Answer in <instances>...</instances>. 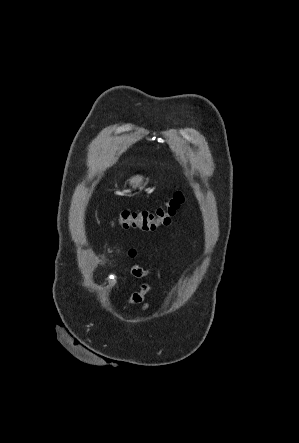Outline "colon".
Listing matches in <instances>:
<instances>
[{
	"label": "colon",
	"mask_w": 299,
	"mask_h": 443,
	"mask_svg": "<svg viewBox=\"0 0 299 443\" xmlns=\"http://www.w3.org/2000/svg\"><path fill=\"white\" fill-rule=\"evenodd\" d=\"M181 191L174 192L160 207L154 211L124 210L119 213L117 223L125 229L134 228L143 231H154L161 226L170 224L173 216L184 202Z\"/></svg>",
	"instance_id": "5ec220e1"
}]
</instances>
